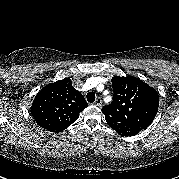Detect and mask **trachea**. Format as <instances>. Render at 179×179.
Instances as JSON below:
<instances>
[{
  "mask_svg": "<svg viewBox=\"0 0 179 179\" xmlns=\"http://www.w3.org/2000/svg\"><path fill=\"white\" fill-rule=\"evenodd\" d=\"M86 98L89 103H93L95 101V94L93 92H89L87 93Z\"/></svg>",
  "mask_w": 179,
  "mask_h": 179,
  "instance_id": "trachea-1",
  "label": "trachea"
}]
</instances>
